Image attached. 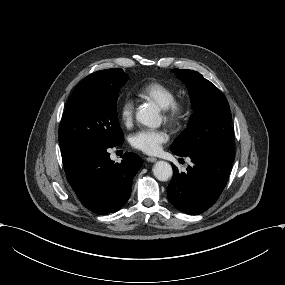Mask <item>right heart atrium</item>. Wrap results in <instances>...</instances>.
<instances>
[{
    "label": "right heart atrium",
    "instance_id": "1",
    "mask_svg": "<svg viewBox=\"0 0 285 285\" xmlns=\"http://www.w3.org/2000/svg\"><path fill=\"white\" fill-rule=\"evenodd\" d=\"M136 109V100L131 94L125 95L119 105V112L125 124H130L133 120Z\"/></svg>",
    "mask_w": 285,
    "mask_h": 285
}]
</instances>
